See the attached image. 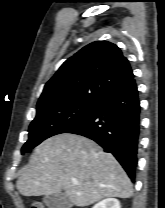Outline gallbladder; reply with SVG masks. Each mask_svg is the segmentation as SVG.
<instances>
[{
  "mask_svg": "<svg viewBox=\"0 0 165 208\" xmlns=\"http://www.w3.org/2000/svg\"><path fill=\"white\" fill-rule=\"evenodd\" d=\"M43 203L48 208H72L73 207V203L65 195V193H62V192L44 196Z\"/></svg>",
  "mask_w": 165,
  "mask_h": 208,
  "instance_id": "bac80fb5",
  "label": "gallbladder"
}]
</instances>
